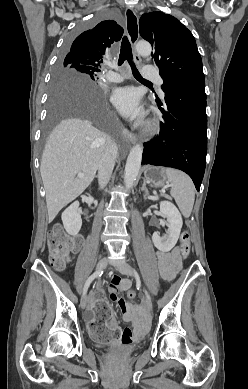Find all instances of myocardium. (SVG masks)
<instances>
[{"label":"myocardium","mask_w":248,"mask_h":389,"mask_svg":"<svg viewBox=\"0 0 248 389\" xmlns=\"http://www.w3.org/2000/svg\"><path fill=\"white\" fill-rule=\"evenodd\" d=\"M148 132H151V133H153V132H155V130H156V127H155V125L154 124H150L149 126H148Z\"/></svg>","instance_id":"1"}]
</instances>
